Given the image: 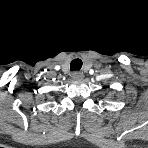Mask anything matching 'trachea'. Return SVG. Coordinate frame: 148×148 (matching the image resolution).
I'll use <instances>...</instances> for the list:
<instances>
[{
	"label": "trachea",
	"mask_w": 148,
	"mask_h": 148,
	"mask_svg": "<svg viewBox=\"0 0 148 148\" xmlns=\"http://www.w3.org/2000/svg\"><path fill=\"white\" fill-rule=\"evenodd\" d=\"M82 67V60L77 58L72 60L71 64H70V68L72 71H79Z\"/></svg>",
	"instance_id": "trachea-1"
}]
</instances>
